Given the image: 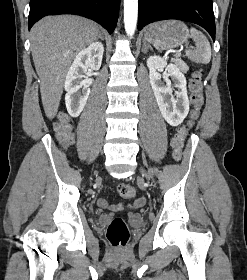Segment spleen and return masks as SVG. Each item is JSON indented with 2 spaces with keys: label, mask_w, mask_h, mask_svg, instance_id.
Returning <instances> with one entry per match:
<instances>
[{
  "label": "spleen",
  "mask_w": 247,
  "mask_h": 280,
  "mask_svg": "<svg viewBox=\"0 0 247 280\" xmlns=\"http://www.w3.org/2000/svg\"><path fill=\"white\" fill-rule=\"evenodd\" d=\"M190 32L196 47L194 50L186 51L187 57L195 63L208 64L211 60V46L208 39L195 28H191Z\"/></svg>",
  "instance_id": "obj_1"
}]
</instances>
